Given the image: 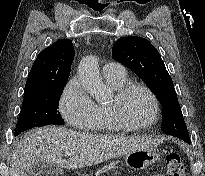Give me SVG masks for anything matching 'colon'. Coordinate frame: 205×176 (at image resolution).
Wrapping results in <instances>:
<instances>
[{"instance_id": "5ec220e1", "label": "colon", "mask_w": 205, "mask_h": 176, "mask_svg": "<svg viewBox=\"0 0 205 176\" xmlns=\"http://www.w3.org/2000/svg\"><path fill=\"white\" fill-rule=\"evenodd\" d=\"M169 176H185V167L178 153H170L166 157Z\"/></svg>"}]
</instances>
